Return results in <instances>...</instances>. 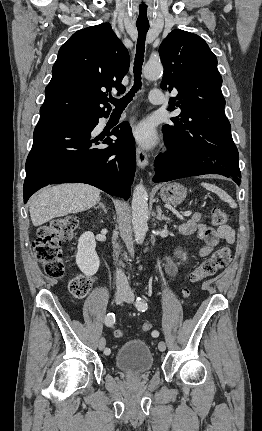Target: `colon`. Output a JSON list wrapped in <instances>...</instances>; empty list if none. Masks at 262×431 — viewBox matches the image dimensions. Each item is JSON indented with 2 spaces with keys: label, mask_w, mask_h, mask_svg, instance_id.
<instances>
[{
  "label": "colon",
  "mask_w": 262,
  "mask_h": 431,
  "mask_svg": "<svg viewBox=\"0 0 262 431\" xmlns=\"http://www.w3.org/2000/svg\"><path fill=\"white\" fill-rule=\"evenodd\" d=\"M231 218L222 209L213 210L212 223L215 226H226ZM78 227V222L73 217H64L54 220L52 223L40 227L34 239V254L42 264L45 273L55 279L63 277L65 274L64 253L62 243L69 241ZM231 260V251L223 246L216 249L207 259L203 260L189 275V281L197 284L205 278L214 275L218 270L228 265ZM90 280L86 276H76L70 282V291L76 300L83 299L90 289ZM183 295L188 297L190 290L185 288ZM152 329L150 322L142 325L143 332ZM121 331H115V336L122 337Z\"/></svg>",
  "instance_id": "obj_1"
}]
</instances>
